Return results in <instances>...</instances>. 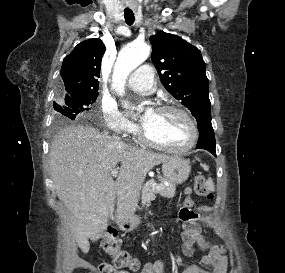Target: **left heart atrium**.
<instances>
[{
  "label": "left heart atrium",
  "mask_w": 285,
  "mask_h": 273,
  "mask_svg": "<svg viewBox=\"0 0 285 273\" xmlns=\"http://www.w3.org/2000/svg\"><path fill=\"white\" fill-rule=\"evenodd\" d=\"M154 112H155V111H154L152 108L148 107V108L145 110V112H144V114H143V116H142V118H141L142 122H145V121H147L148 119H150V118L153 116Z\"/></svg>",
  "instance_id": "obj_1"
}]
</instances>
